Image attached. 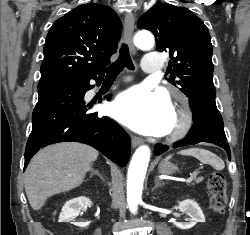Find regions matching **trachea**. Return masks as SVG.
I'll return each mask as SVG.
<instances>
[{"instance_id":"trachea-1","label":"trachea","mask_w":250,"mask_h":235,"mask_svg":"<svg viewBox=\"0 0 250 235\" xmlns=\"http://www.w3.org/2000/svg\"><path fill=\"white\" fill-rule=\"evenodd\" d=\"M123 68H127L129 70L134 69V65L129 54V48L124 43L121 45L120 55L118 59L110 66H108L106 77H117L119 73L123 70Z\"/></svg>"}]
</instances>
